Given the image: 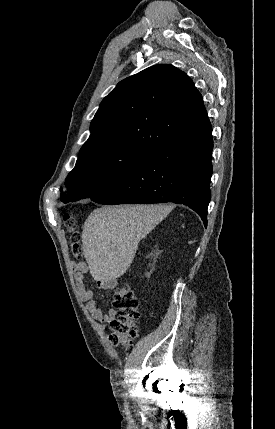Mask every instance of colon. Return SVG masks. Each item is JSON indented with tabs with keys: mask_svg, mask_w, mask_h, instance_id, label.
<instances>
[{
	"mask_svg": "<svg viewBox=\"0 0 275 429\" xmlns=\"http://www.w3.org/2000/svg\"><path fill=\"white\" fill-rule=\"evenodd\" d=\"M63 221L71 233V255L74 259L79 260L82 256V248L78 235L74 232L75 221L68 213L64 214ZM113 305L118 311V317L111 323L110 340L114 345L128 346L138 332L135 326L138 318V299L128 285H123L116 289Z\"/></svg>",
	"mask_w": 275,
	"mask_h": 429,
	"instance_id": "colon-1",
	"label": "colon"
}]
</instances>
